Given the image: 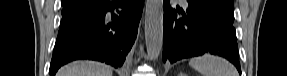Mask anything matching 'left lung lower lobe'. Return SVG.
Listing matches in <instances>:
<instances>
[{
    "instance_id": "left-lung-lower-lobe-1",
    "label": "left lung lower lobe",
    "mask_w": 287,
    "mask_h": 76,
    "mask_svg": "<svg viewBox=\"0 0 287 76\" xmlns=\"http://www.w3.org/2000/svg\"><path fill=\"white\" fill-rule=\"evenodd\" d=\"M164 0L163 61L174 63L184 58L211 53L227 58L241 73L235 28L224 17L189 0L187 12L179 17Z\"/></svg>"
}]
</instances>
